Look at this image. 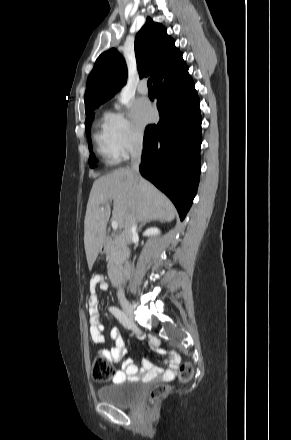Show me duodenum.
I'll return each mask as SVG.
<instances>
[{"label": "duodenum", "mask_w": 291, "mask_h": 440, "mask_svg": "<svg viewBox=\"0 0 291 440\" xmlns=\"http://www.w3.org/2000/svg\"><path fill=\"white\" fill-rule=\"evenodd\" d=\"M127 269H125V272L127 273ZM109 278L114 284H119L121 280V274L119 269L115 265H111L108 272Z\"/></svg>", "instance_id": "1"}]
</instances>
